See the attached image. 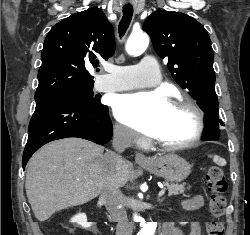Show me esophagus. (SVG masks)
<instances>
[{
    "instance_id": "34e87169",
    "label": "esophagus",
    "mask_w": 250,
    "mask_h": 235,
    "mask_svg": "<svg viewBox=\"0 0 250 235\" xmlns=\"http://www.w3.org/2000/svg\"><path fill=\"white\" fill-rule=\"evenodd\" d=\"M135 161L137 163H150V159H148L143 153L137 152L135 154Z\"/></svg>"
}]
</instances>
